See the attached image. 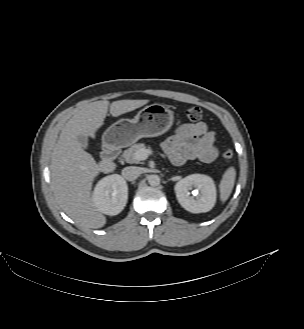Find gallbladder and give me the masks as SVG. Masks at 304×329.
<instances>
[{
  "label": "gallbladder",
  "mask_w": 304,
  "mask_h": 329,
  "mask_svg": "<svg viewBox=\"0 0 304 329\" xmlns=\"http://www.w3.org/2000/svg\"><path fill=\"white\" fill-rule=\"evenodd\" d=\"M77 140L80 143V145L82 146V148L87 149V147H88V138H87V136L78 135Z\"/></svg>",
  "instance_id": "gallbladder-1"
}]
</instances>
